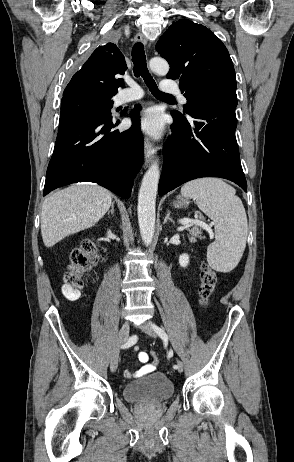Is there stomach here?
Segmentation results:
<instances>
[{"mask_svg":"<svg viewBox=\"0 0 294 462\" xmlns=\"http://www.w3.org/2000/svg\"><path fill=\"white\" fill-rule=\"evenodd\" d=\"M173 204H174V206H175L176 208H181V207L187 206L188 201H187L186 199H183V198H181V197H178L177 200L174 201Z\"/></svg>","mask_w":294,"mask_h":462,"instance_id":"0dacf381","label":"stomach"}]
</instances>
